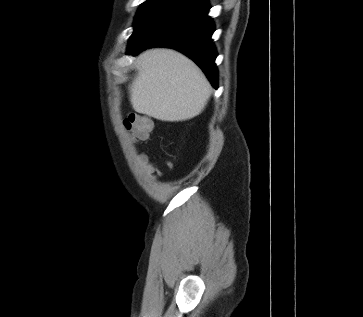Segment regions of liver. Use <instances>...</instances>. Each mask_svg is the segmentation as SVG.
Returning a JSON list of instances; mask_svg holds the SVG:
<instances>
[{
  "label": "liver",
  "instance_id": "1",
  "mask_svg": "<svg viewBox=\"0 0 363 317\" xmlns=\"http://www.w3.org/2000/svg\"><path fill=\"white\" fill-rule=\"evenodd\" d=\"M138 76L130 85V102L141 114L167 122L192 119L205 108L211 86L197 65L166 48L137 57Z\"/></svg>",
  "mask_w": 363,
  "mask_h": 317
}]
</instances>
